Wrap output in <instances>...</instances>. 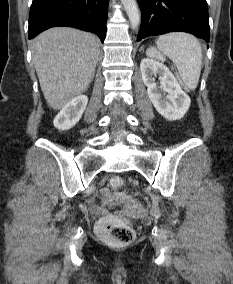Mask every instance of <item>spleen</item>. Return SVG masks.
<instances>
[{"label": "spleen", "mask_w": 233, "mask_h": 284, "mask_svg": "<svg viewBox=\"0 0 233 284\" xmlns=\"http://www.w3.org/2000/svg\"><path fill=\"white\" fill-rule=\"evenodd\" d=\"M157 48L147 51L149 57H169L176 65L184 85L195 89L202 69V49L199 41L187 33H168L158 38Z\"/></svg>", "instance_id": "obj_1"}]
</instances>
